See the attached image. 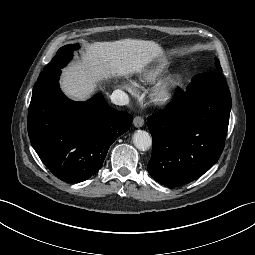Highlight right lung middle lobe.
<instances>
[{
  "instance_id": "right-lung-middle-lobe-1",
  "label": "right lung middle lobe",
  "mask_w": 255,
  "mask_h": 255,
  "mask_svg": "<svg viewBox=\"0 0 255 255\" xmlns=\"http://www.w3.org/2000/svg\"><path fill=\"white\" fill-rule=\"evenodd\" d=\"M78 48V44H69L61 47L52 61L44 68L46 70H52L55 68L64 67L71 59L73 52Z\"/></svg>"
}]
</instances>
